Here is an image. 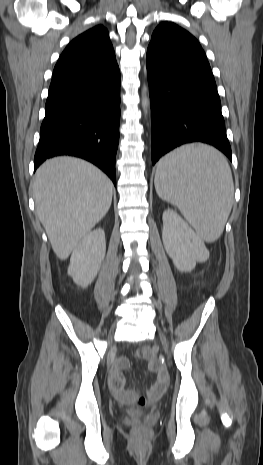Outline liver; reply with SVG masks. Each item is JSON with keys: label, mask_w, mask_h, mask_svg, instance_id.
Here are the masks:
<instances>
[{"label": "liver", "mask_w": 263, "mask_h": 465, "mask_svg": "<svg viewBox=\"0 0 263 465\" xmlns=\"http://www.w3.org/2000/svg\"><path fill=\"white\" fill-rule=\"evenodd\" d=\"M112 188L102 171L78 158L56 157L37 169L33 183L36 213L58 258L67 259L106 215Z\"/></svg>", "instance_id": "obj_1"}]
</instances>
